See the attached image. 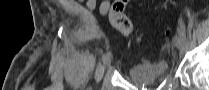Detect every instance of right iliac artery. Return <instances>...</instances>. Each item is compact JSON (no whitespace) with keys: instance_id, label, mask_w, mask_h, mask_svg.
Returning a JSON list of instances; mask_svg holds the SVG:
<instances>
[{"instance_id":"1","label":"right iliac artery","mask_w":209,"mask_h":90,"mask_svg":"<svg viewBox=\"0 0 209 90\" xmlns=\"http://www.w3.org/2000/svg\"><path fill=\"white\" fill-rule=\"evenodd\" d=\"M111 56V53L110 52H107L105 53L103 56H102V60L105 61L107 58H109Z\"/></svg>"}]
</instances>
